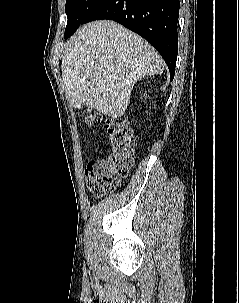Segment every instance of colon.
<instances>
[{
  "instance_id": "obj_1",
  "label": "colon",
  "mask_w": 239,
  "mask_h": 303,
  "mask_svg": "<svg viewBox=\"0 0 239 303\" xmlns=\"http://www.w3.org/2000/svg\"><path fill=\"white\" fill-rule=\"evenodd\" d=\"M89 123L99 121L97 114L86 115ZM110 153L107 157L91 161L86 168V183L90 193L103 197L113 192L126 177L133 166L136 138L131 127L123 121H109Z\"/></svg>"
}]
</instances>
